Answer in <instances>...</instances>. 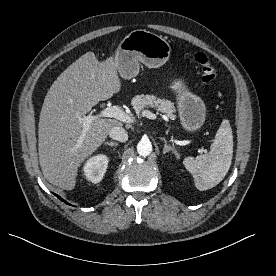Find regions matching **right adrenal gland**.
<instances>
[{
    "mask_svg": "<svg viewBox=\"0 0 276 276\" xmlns=\"http://www.w3.org/2000/svg\"><path fill=\"white\" fill-rule=\"evenodd\" d=\"M104 144L108 145L110 147H117L118 146V143H116V142H105Z\"/></svg>",
    "mask_w": 276,
    "mask_h": 276,
    "instance_id": "obj_1",
    "label": "right adrenal gland"
}]
</instances>
